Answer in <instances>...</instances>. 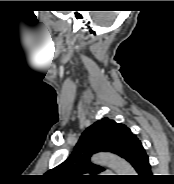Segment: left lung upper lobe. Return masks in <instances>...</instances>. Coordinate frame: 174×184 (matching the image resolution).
<instances>
[{"label": "left lung upper lobe", "mask_w": 174, "mask_h": 184, "mask_svg": "<svg viewBox=\"0 0 174 184\" xmlns=\"http://www.w3.org/2000/svg\"><path fill=\"white\" fill-rule=\"evenodd\" d=\"M139 142L124 124L109 118L98 120L81 135L70 157L46 174L57 184H88L101 178L104 169L90 162L92 154L109 151L127 160L134 145Z\"/></svg>", "instance_id": "left-lung-upper-lobe-1"}]
</instances>
